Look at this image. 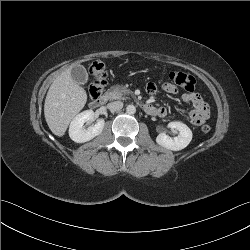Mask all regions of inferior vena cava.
I'll use <instances>...</instances> for the list:
<instances>
[{"mask_svg":"<svg viewBox=\"0 0 250 250\" xmlns=\"http://www.w3.org/2000/svg\"><path fill=\"white\" fill-rule=\"evenodd\" d=\"M107 106L111 112H116V111H120L123 108V102L114 101V102L108 103Z\"/></svg>","mask_w":250,"mask_h":250,"instance_id":"inferior-vena-cava-1","label":"inferior vena cava"}]
</instances>
